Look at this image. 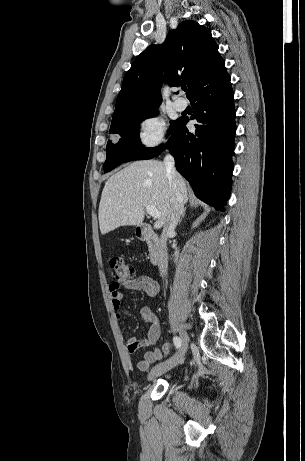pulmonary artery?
Returning <instances> with one entry per match:
<instances>
[{"label":"pulmonary artery","instance_id":"obj_1","mask_svg":"<svg viewBox=\"0 0 305 461\" xmlns=\"http://www.w3.org/2000/svg\"><path fill=\"white\" fill-rule=\"evenodd\" d=\"M173 105L177 111H184L187 107V101L184 98L179 97L174 100Z\"/></svg>","mask_w":305,"mask_h":461}]
</instances>
